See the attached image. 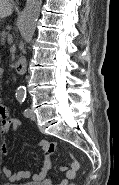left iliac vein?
I'll return each instance as SVG.
<instances>
[{
	"label": "left iliac vein",
	"mask_w": 119,
	"mask_h": 185,
	"mask_svg": "<svg viewBox=\"0 0 119 185\" xmlns=\"http://www.w3.org/2000/svg\"><path fill=\"white\" fill-rule=\"evenodd\" d=\"M31 120H35L36 119V115L33 111V109L29 110V116H28Z\"/></svg>",
	"instance_id": "left-iliac-vein-1"
}]
</instances>
